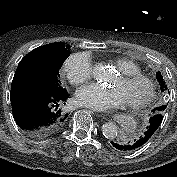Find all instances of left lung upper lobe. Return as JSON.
<instances>
[{
	"instance_id": "5c2ea615",
	"label": "left lung upper lobe",
	"mask_w": 177,
	"mask_h": 177,
	"mask_svg": "<svg viewBox=\"0 0 177 177\" xmlns=\"http://www.w3.org/2000/svg\"><path fill=\"white\" fill-rule=\"evenodd\" d=\"M157 79H158V82L160 83V89H161V92H163L164 94L165 93H169V90L167 88V85L163 79V76L161 75L160 71L157 72ZM166 108V105H163L161 106V111L163 113V111L165 110Z\"/></svg>"
}]
</instances>
